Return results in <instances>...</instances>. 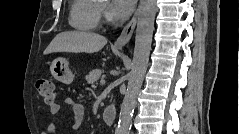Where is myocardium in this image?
Segmentation results:
<instances>
[{
	"label": "myocardium",
	"instance_id": "myocardium-1",
	"mask_svg": "<svg viewBox=\"0 0 239 134\" xmlns=\"http://www.w3.org/2000/svg\"><path fill=\"white\" fill-rule=\"evenodd\" d=\"M98 7H99V12H100V13H103L104 8H103L102 6H100V5H99Z\"/></svg>",
	"mask_w": 239,
	"mask_h": 134
}]
</instances>
